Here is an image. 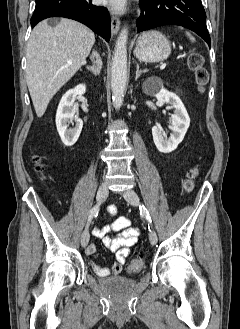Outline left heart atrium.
I'll return each mask as SVG.
<instances>
[{
  "instance_id": "obj_1",
  "label": "left heart atrium",
  "mask_w": 240,
  "mask_h": 329,
  "mask_svg": "<svg viewBox=\"0 0 240 329\" xmlns=\"http://www.w3.org/2000/svg\"><path fill=\"white\" fill-rule=\"evenodd\" d=\"M102 2L113 11H121L125 6V0H102Z\"/></svg>"
}]
</instances>
